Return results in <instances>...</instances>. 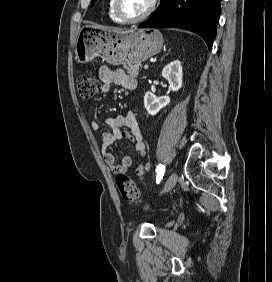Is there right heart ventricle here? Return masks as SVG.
<instances>
[{
	"label": "right heart ventricle",
	"mask_w": 272,
	"mask_h": 282,
	"mask_svg": "<svg viewBox=\"0 0 272 282\" xmlns=\"http://www.w3.org/2000/svg\"><path fill=\"white\" fill-rule=\"evenodd\" d=\"M112 4H113V0H110V3H109V16H110V18L114 22L121 23V24L125 23L124 21H122L120 18L117 17V15L114 12Z\"/></svg>",
	"instance_id": "e07e8e85"
}]
</instances>
